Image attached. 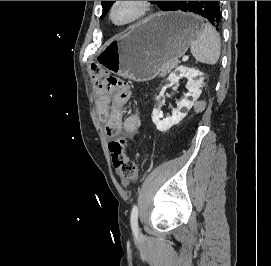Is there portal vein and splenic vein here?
Masks as SVG:
<instances>
[{"label":"portal vein and splenic vein","instance_id":"18ae733b","mask_svg":"<svg viewBox=\"0 0 271 266\" xmlns=\"http://www.w3.org/2000/svg\"><path fill=\"white\" fill-rule=\"evenodd\" d=\"M188 58H189V57H188L187 55H185V56L182 57V61L185 62V61L188 60Z\"/></svg>","mask_w":271,"mask_h":266}]
</instances>
